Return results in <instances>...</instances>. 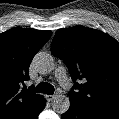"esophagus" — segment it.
I'll return each mask as SVG.
<instances>
[{
	"instance_id": "obj_1",
	"label": "esophagus",
	"mask_w": 119,
	"mask_h": 119,
	"mask_svg": "<svg viewBox=\"0 0 119 119\" xmlns=\"http://www.w3.org/2000/svg\"><path fill=\"white\" fill-rule=\"evenodd\" d=\"M55 98V95H47V99L49 101H52Z\"/></svg>"
}]
</instances>
